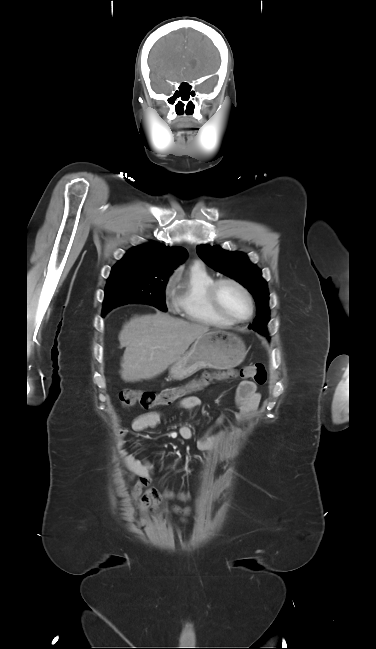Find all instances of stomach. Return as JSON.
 Instances as JSON below:
<instances>
[{
    "instance_id": "0dacf381",
    "label": "stomach",
    "mask_w": 376,
    "mask_h": 649,
    "mask_svg": "<svg viewBox=\"0 0 376 649\" xmlns=\"http://www.w3.org/2000/svg\"><path fill=\"white\" fill-rule=\"evenodd\" d=\"M246 354L245 344L236 334L208 331L172 364L169 373L173 379L181 381L204 368L231 369L242 363Z\"/></svg>"
}]
</instances>
